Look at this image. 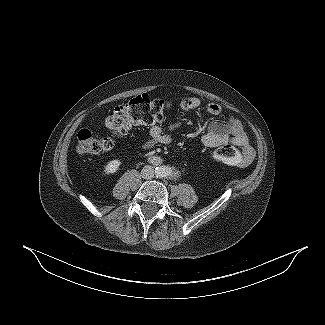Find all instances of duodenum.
<instances>
[{
  "label": "duodenum",
  "mask_w": 325,
  "mask_h": 325,
  "mask_svg": "<svg viewBox=\"0 0 325 325\" xmlns=\"http://www.w3.org/2000/svg\"><path fill=\"white\" fill-rule=\"evenodd\" d=\"M149 159H150V162L154 165H159L162 163V159L158 156H151Z\"/></svg>",
  "instance_id": "410a0bca"
}]
</instances>
